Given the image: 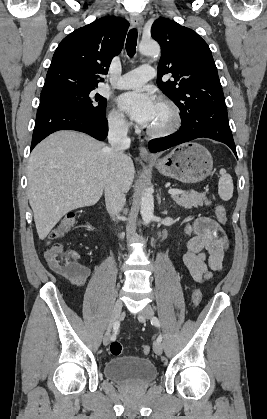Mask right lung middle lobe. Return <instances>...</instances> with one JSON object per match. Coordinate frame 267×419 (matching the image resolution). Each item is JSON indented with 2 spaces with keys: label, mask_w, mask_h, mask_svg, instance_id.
<instances>
[{
  "label": "right lung middle lobe",
  "mask_w": 267,
  "mask_h": 419,
  "mask_svg": "<svg viewBox=\"0 0 267 419\" xmlns=\"http://www.w3.org/2000/svg\"><path fill=\"white\" fill-rule=\"evenodd\" d=\"M94 88L66 87L41 93L40 99H52L64 103L91 117L105 115L107 100L95 93Z\"/></svg>",
  "instance_id": "1"
}]
</instances>
